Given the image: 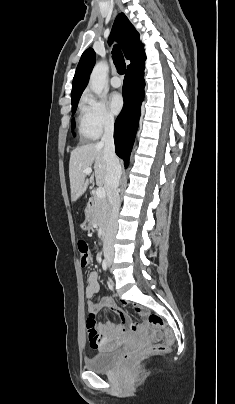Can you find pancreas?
<instances>
[{
    "instance_id": "pancreas-1",
    "label": "pancreas",
    "mask_w": 235,
    "mask_h": 404,
    "mask_svg": "<svg viewBox=\"0 0 235 404\" xmlns=\"http://www.w3.org/2000/svg\"><path fill=\"white\" fill-rule=\"evenodd\" d=\"M109 204L106 198H94V205L91 210V221L97 226H101L105 229L106 222L109 216Z\"/></svg>"
}]
</instances>
